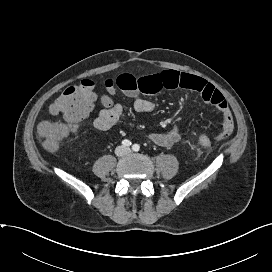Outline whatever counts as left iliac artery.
Returning a JSON list of instances; mask_svg holds the SVG:
<instances>
[{
	"label": "left iliac artery",
	"instance_id": "left-iliac-artery-1",
	"mask_svg": "<svg viewBox=\"0 0 272 272\" xmlns=\"http://www.w3.org/2000/svg\"><path fill=\"white\" fill-rule=\"evenodd\" d=\"M132 149H133V151H139V149H140V146L138 145V144H134L133 146H132Z\"/></svg>",
	"mask_w": 272,
	"mask_h": 272
}]
</instances>
